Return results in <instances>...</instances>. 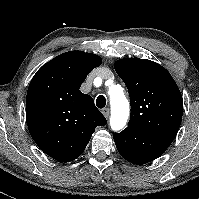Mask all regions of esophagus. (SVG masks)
<instances>
[{"label": "esophagus", "mask_w": 199, "mask_h": 199, "mask_svg": "<svg viewBox=\"0 0 199 199\" xmlns=\"http://www.w3.org/2000/svg\"><path fill=\"white\" fill-rule=\"evenodd\" d=\"M102 113L105 116V118H109L110 109L109 108H105V109L102 110Z\"/></svg>", "instance_id": "esophagus-1"}]
</instances>
